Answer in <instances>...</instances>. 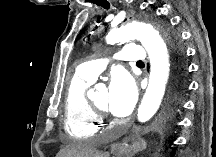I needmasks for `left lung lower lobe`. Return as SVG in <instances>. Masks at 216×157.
I'll return each instance as SVG.
<instances>
[{
	"label": "left lung lower lobe",
	"instance_id": "obj_1",
	"mask_svg": "<svg viewBox=\"0 0 216 157\" xmlns=\"http://www.w3.org/2000/svg\"><path fill=\"white\" fill-rule=\"evenodd\" d=\"M185 73H186V69H185ZM185 73L183 77H181L179 69H177V67H175L174 69L173 80H172V95H171V101L173 103L178 102V99L180 98L181 94L186 89Z\"/></svg>",
	"mask_w": 216,
	"mask_h": 157
}]
</instances>
